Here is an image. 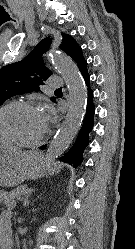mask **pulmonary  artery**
<instances>
[{"label": "pulmonary artery", "instance_id": "e3ab8cb5", "mask_svg": "<svg viewBox=\"0 0 135 249\" xmlns=\"http://www.w3.org/2000/svg\"><path fill=\"white\" fill-rule=\"evenodd\" d=\"M49 86L53 88H59L62 86V79L59 76H53L49 79Z\"/></svg>", "mask_w": 135, "mask_h": 249}]
</instances>
